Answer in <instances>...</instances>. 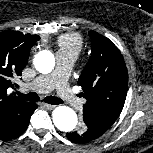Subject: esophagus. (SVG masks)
I'll return each instance as SVG.
<instances>
[{
	"label": "esophagus",
	"instance_id": "34e87169",
	"mask_svg": "<svg viewBox=\"0 0 153 153\" xmlns=\"http://www.w3.org/2000/svg\"><path fill=\"white\" fill-rule=\"evenodd\" d=\"M41 106L48 109V110H52L56 107L55 105L45 104V103L41 104Z\"/></svg>",
	"mask_w": 153,
	"mask_h": 153
}]
</instances>
